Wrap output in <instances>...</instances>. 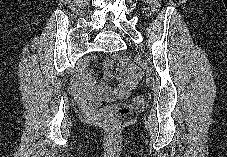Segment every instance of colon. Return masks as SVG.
Instances as JSON below:
<instances>
[{
	"label": "colon",
	"mask_w": 227,
	"mask_h": 157,
	"mask_svg": "<svg viewBox=\"0 0 227 157\" xmlns=\"http://www.w3.org/2000/svg\"><path fill=\"white\" fill-rule=\"evenodd\" d=\"M148 12L153 14L159 9L158 0H147ZM146 97L143 95H137L132 98V105L134 107H141L146 104ZM131 115V110L127 106H119L117 109V115L107 119V122L114 125L120 118H128Z\"/></svg>",
	"instance_id": "obj_1"
}]
</instances>
